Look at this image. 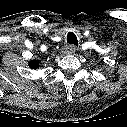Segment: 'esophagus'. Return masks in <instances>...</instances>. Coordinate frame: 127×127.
Here are the masks:
<instances>
[{
    "label": "esophagus",
    "instance_id": "obj_1",
    "mask_svg": "<svg viewBox=\"0 0 127 127\" xmlns=\"http://www.w3.org/2000/svg\"><path fill=\"white\" fill-rule=\"evenodd\" d=\"M77 48L74 45H67L63 48L64 54H74L76 52Z\"/></svg>",
    "mask_w": 127,
    "mask_h": 127
}]
</instances>
